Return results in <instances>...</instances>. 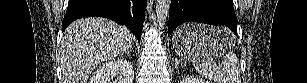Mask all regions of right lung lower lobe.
<instances>
[{
  "instance_id": "98d812e1",
  "label": "right lung lower lobe",
  "mask_w": 307,
  "mask_h": 83,
  "mask_svg": "<svg viewBox=\"0 0 307 83\" xmlns=\"http://www.w3.org/2000/svg\"><path fill=\"white\" fill-rule=\"evenodd\" d=\"M147 0H69L62 31L76 19L105 17L124 24L140 42Z\"/></svg>"
}]
</instances>
